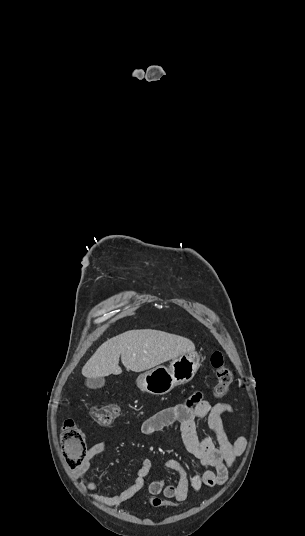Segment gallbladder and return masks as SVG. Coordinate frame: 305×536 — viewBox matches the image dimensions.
<instances>
[{
    "instance_id": "obj_1",
    "label": "gallbladder",
    "mask_w": 305,
    "mask_h": 536,
    "mask_svg": "<svg viewBox=\"0 0 305 536\" xmlns=\"http://www.w3.org/2000/svg\"><path fill=\"white\" fill-rule=\"evenodd\" d=\"M87 388H102L105 384L104 378H86L85 382Z\"/></svg>"
}]
</instances>
